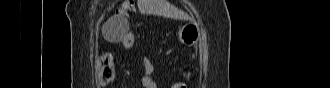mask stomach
<instances>
[{
  "label": "stomach",
  "instance_id": "1",
  "mask_svg": "<svg viewBox=\"0 0 330 88\" xmlns=\"http://www.w3.org/2000/svg\"><path fill=\"white\" fill-rule=\"evenodd\" d=\"M178 37L187 46L196 45L200 39L199 26L194 22L184 24L179 28Z\"/></svg>",
  "mask_w": 330,
  "mask_h": 88
}]
</instances>
